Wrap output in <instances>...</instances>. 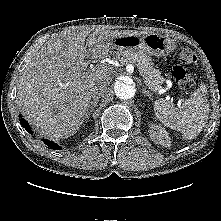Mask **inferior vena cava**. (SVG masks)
<instances>
[{"label": "inferior vena cava", "mask_w": 221, "mask_h": 221, "mask_svg": "<svg viewBox=\"0 0 221 221\" xmlns=\"http://www.w3.org/2000/svg\"><path fill=\"white\" fill-rule=\"evenodd\" d=\"M107 92V89L104 84H99L92 89L93 98H99Z\"/></svg>", "instance_id": "inferior-vena-cava-1"}]
</instances>
